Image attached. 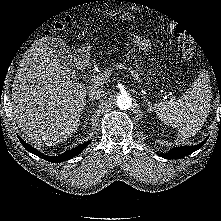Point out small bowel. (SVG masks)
Returning <instances> with one entry per match:
<instances>
[{"instance_id":"small-bowel-1","label":"small bowel","mask_w":221,"mask_h":221,"mask_svg":"<svg viewBox=\"0 0 221 221\" xmlns=\"http://www.w3.org/2000/svg\"><path fill=\"white\" fill-rule=\"evenodd\" d=\"M132 41L142 51H148L150 49V42L144 37L133 35Z\"/></svg>"}]
</instances>
